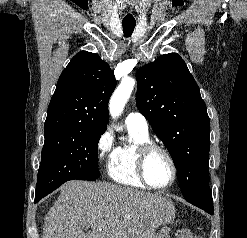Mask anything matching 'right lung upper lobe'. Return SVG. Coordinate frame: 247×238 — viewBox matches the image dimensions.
<instances>
[{
	"label": "right lung upper lobe",
	"instance_id": "right-lung-upper-lobe-1",
	"mask_svg": "<svg viewBox=\"0 0 247 238\" xmlns=\"http://www.w3.org/2000/svg\"><path fill=\"white\" fill-rule=\"evenodd\" d=\"M115 87L114 73L105 61L95 53H77L59 77L44 133L85 126L106 129Z\"/></svg>",
	"mask_w": 247,
	"mask_h": 238
}]
</instances>
